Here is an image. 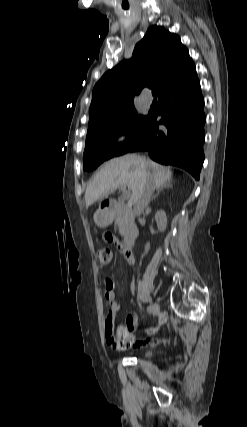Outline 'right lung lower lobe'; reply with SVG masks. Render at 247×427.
<instances>
[{
    "label": "right lung lower lobe",
    "instance_id": "obj_1",
    "mask_svg": "<svg viewBox=\"0 0 247 427\" xmlns=\"http://www.w3.org/2000/svg\"><path fill=\"white\" fill-rule=\"evenodd\" d=\"M158 102V113H149L145 135L127 152L147 151L154 161L182 167L198 180L204 161L205 115L195 67L174 81ZM159 125L166 129L159 130Z\"/></svg>",
    "mask_w": 247,
    "mask_h": 427
}]
</instances>
